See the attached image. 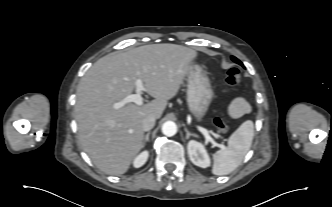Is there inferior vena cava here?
<instances>
[{"label": "inferior vena cava", "mask_w": 332, "mask_h": 207, "mask_svg": "<svg viewBox=\"0 0 332 207\" xmlns=\"http://www.w3.org/2000/svg\"><path fill=\"white\" fill-rule=\"evenodd\" d=\"M156 118L154 116L146 117L142 122V127L144 131L151 130L155 125Z\"/></svg>", "instance_id": "602c4592"}]
</instances>
